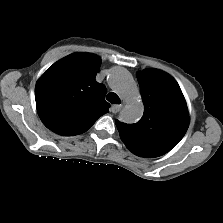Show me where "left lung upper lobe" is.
<instances>
[{
	"label": "left lung upper lobe",
	"instance_id": "1",
	"mask_svg": "<svg viewBox=\"0 0 223 223\" xmlns=\"http://www.w3.org/2000/svg\"><path fill=\"white\" fill-rule=\"evenodd\" d=\"M144 114L136 124L115 120L120 137L134 154L158 157L176 146L189 126V113L182 91L169 74L146 69L137 74Z\"/></svg>",
	"mask_w": 223,
	"mask_h": 223
}]
</instances>
